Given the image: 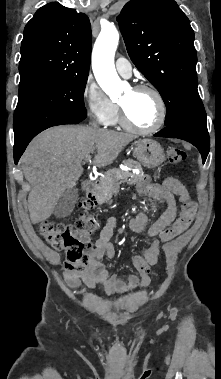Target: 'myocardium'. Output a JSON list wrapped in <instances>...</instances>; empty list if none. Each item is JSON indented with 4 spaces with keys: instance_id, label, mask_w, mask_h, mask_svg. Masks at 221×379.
Returning <instances> with one entry per match:
<instances>
[{
    "instance_id": "1",
    "label": "myocardium",
    "mask_w": 221,
    "mask_h": 379,
    "mask_svg": "<svg viewBox=\"0 0 221 379\" xmlns=\"http://www.w3.org/2000/svg\"><path fill=\"white\" fill-rule=\"evenodd\" d=\"M132 90L135 92H149L155 97L158 105L157 120L152 126L148 128L138 127L130 122L125 112V109L122 105L119 104V120L121 125L131 132L142 135H148L157 132L163 126L167 117V108L163 95L156 87L149 84L137 85L133 87Z\"/></svg>"
}]
</instances>
